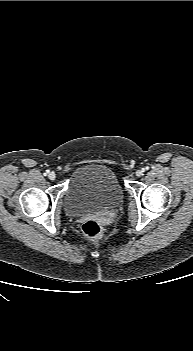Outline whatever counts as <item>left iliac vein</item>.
<instances>
[{
  "instance_id": "4c4485c4",
  "label": "left iliac vein",
  "mask_w": 193,
  "mask_h": 351,
  "mask_svg": "<svg viewBox=\"0 0 193 351\" xmlns=\"http://www.w3.org/2000/svg\"><path fill=\"white\" fill-rule=\"evenodd\" d=\"M142 174H143V171H142V170H137V171H136V175H137L138 177L142 176Z\"/></svg>"
}]
</instances>
